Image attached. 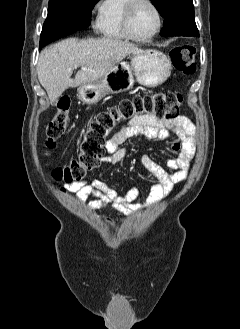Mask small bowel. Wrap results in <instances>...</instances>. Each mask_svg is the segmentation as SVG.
<instances>
[{
	"mask_svg": "<svg viewBox=\"0 0 240 329\" xmlns=\"http://www.w3.org/2000/svg\"><path fill=\"white\" fill-rule=\"evenodd\" d=\"M196 128L189 118L159 119L155 116H138L117 130L105 145L106 154L101 159L108 166L115 165L129 156L130 151L122 145L130 138L142 136L152 140H171L174 157L166 162L167 168L156 163L150 156H140V162L149 172L153 184L145 204L136 202L139 191L131 189L124 195L118 194L104 181L93 179L64 184L62 194L75 193L79 202L89 200L90 209H112L125 214L141 210L168 196L175 185L186 179L190 162L195 152ZM104 221L114 227V221L105 217Z\"/></svg>",
	"mask_w": 240,
	"mask_h": 329,
	"instance_id": "1",
	"label": "small bowel"
}]
</instances>
